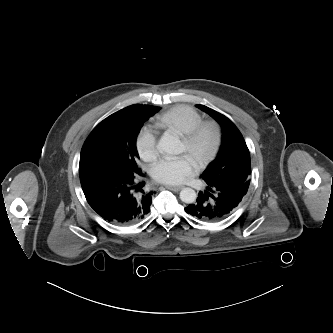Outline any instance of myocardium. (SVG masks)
Returning <instances> with one entry per match:
<instances>
[{"label": "myocardium", "instance_id": "myocardium-1", "mask_svg": "<svg viewBox=\"0 0 333 333\" xmlns=\"http://www.w3.org/2000/svg\"><path fill=\"white\" fill-rule=\"evenodd\" d=\"M211 131L213 134V143L210 151L203 157L197 160V167L203 169L211 164L218 156L223 143V129L215 120H205L196 125L188 133L182 135V140L185 142L189 150H194L200 137L205 131Z\"/></svg>", "mask_w": 333, "mask_h": 333}]
</instances>
